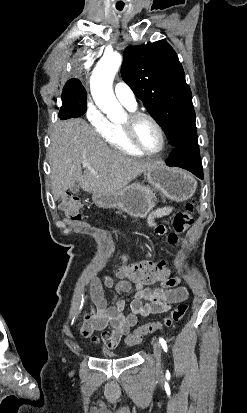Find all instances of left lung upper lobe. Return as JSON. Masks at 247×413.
Here are the masks:
<instances>
[{
  "label": "left lung upper lobe",
  "instance_id": "left-lung-upper-lobe-1",
  "mask_svg": "<svg viewBox=\"0 0 247 413\" xmlns=\"http://www.w3.org/2000/svg\"><path fill=\"white\" fill-rule=\"evenodd\" d=\"M121 73L173 148L198 144L191 90L169 43L160 40L127 48Z\"/></svg>",
  "mask_w": 247,
  "mask_h": 413
}]
</instances>
